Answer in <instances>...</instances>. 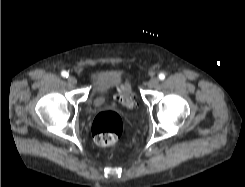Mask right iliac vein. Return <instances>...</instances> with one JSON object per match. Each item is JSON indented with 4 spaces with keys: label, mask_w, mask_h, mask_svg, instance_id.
<instances>
[{
    "label": "right iliac vein",
    "mask_w": 245,
    "mask_h": 187,
    "mask_svg": "<svg viewBox=\"0 0 245 187\" xmlns=\"http://www.w3.org/2000/svg\"><path fill=\"white\" fill-rule=\"evenodd\" d=\"M68 82H69L71 85H76V84H77V79H76L74 76H69V77H68Z\"/></svg>",
    "instance_id": "right-iliac-vein-1"
}]
</instances>
